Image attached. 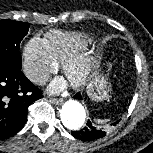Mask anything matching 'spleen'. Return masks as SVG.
Instances as JSON below:
<instances>
[{
    "label": "spleen",
    "mask_w": 153,
    "mask_h": 153,
    "mask_svg": "<svg viewBox=\"0 0 153 153\" xmlns=\"http://www.w3.org/2000/svg\"><path fill=\"white\" fill-rule=\"evenodd\" d=\"M98 123H104L105 122V120H101V119H97L96 120Z\"/></svg>",
    "instance_id": "1"
}]
</instances>
